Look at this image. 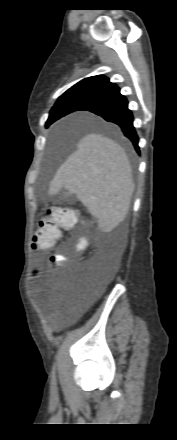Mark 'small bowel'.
Segmentation results:
<instances>
[{
	"instance_id": "small-bowel-1",
	"label": "small bowel",
	"mask_w": 177,
	"mask_h": 440,
	"mask_svg": "<svg viewBox=\"0 0 177 440\" xmlns=\"http://www.w3.org/2000/svg\"><path fill=\"white\" fill-rule=\"evenodd\" d=\"M61 312H62V310H60V309L53 311L52 317L59 316L61 314Z\"/></svg>"
}]
</instances>
